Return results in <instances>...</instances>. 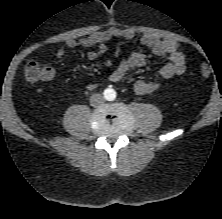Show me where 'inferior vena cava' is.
Returning <instances> with one entry per match:
<instances>
[{"mask_svg":"<svg viewBox=\"0 0 222 219\" xmlns=\"http://www.w3.org/2000/svg\"><path fill=\"white\" fill-rule=\"evenodd\" d=\"M104 102L103 97L100 94H94L90 98V104L91 106H98L101 105Z\"/></svg>","mask_w":222,"mask_h":219,"instance_id":"1","label":"inferior vena cava"}]
</instances>
